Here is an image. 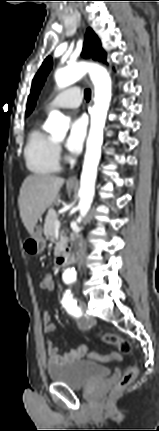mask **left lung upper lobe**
<instances>
[{"mask_svg":"<svg viewBox=\"0 0 159 431\" xmlns=\"http://www.w3.org/2000/svg\"><path fill=\"white\" fill-rule=\"evenodd\" d=\"M82 56L85 58L92 57L95 60L105 61L106 53L100 47V41L97 39V36L91 29L87 30ZM51 68L52 58L47 57L32 81V88L28 97L26 115H29L34 109L40 89L43 86L46 76L48 75Z\"/></svg>","mask_w":159,"mask_h":431,"instance_id":"left-lung-upper-lobe-1","label":"left lung upper lobe"}]
</instances>
